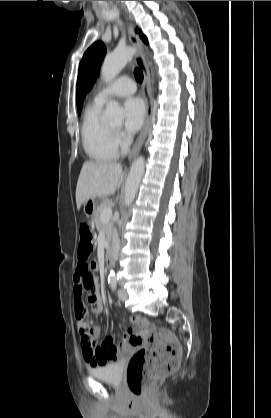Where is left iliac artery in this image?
Segmentation results:
<instances>
[{"label":"left iliac artery","instance_id":"left-iliac-artery-1","mask_svg":"<svg viewBox=\"0 0 271 418\" xmlns=\"http://www.w3.org/2000/svg\"><path fill=\"white\" fill-rule=\"evenodd\" d=\"M110 286H111L112 290H113V291H115L116 286H117L116 281L111 282V283H110Z\"/></svg>","mask_w":271,"mask_h":418}]
</instances>
